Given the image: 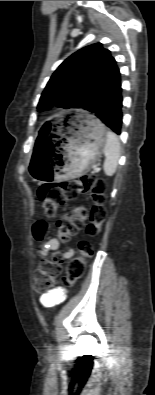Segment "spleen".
<instances>
[{"label":"spleen","mask_w":155,"mask_h":395,"mask_svg":"<svg viewBox=\"0 0 155 395\" xmlns=\"http://www.w3.org/2000/svg\"><path fill=\"white\" fill-rule=\"evenodd\" d=\"M103 152L105 155L104 172L107 176H112L116 171L120 157V142L118 137L111 131L106 132Z\"/></svg>","instance_id":"3e777b00"}]
</instances>
